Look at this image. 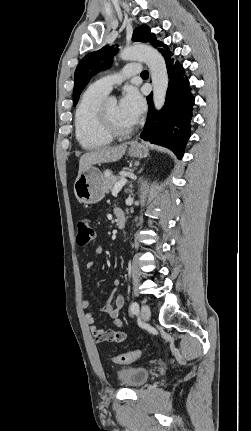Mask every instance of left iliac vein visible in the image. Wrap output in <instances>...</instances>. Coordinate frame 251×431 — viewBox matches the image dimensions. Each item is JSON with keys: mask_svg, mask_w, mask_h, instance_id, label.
Here are the masks:
<instances>
[{"mask_svg": "<svg viewBox=\"0 0 251 431\" xmlns=\"http://www.w3.org/2000/svg\"><path fill=\"white\" fill-rule=\"evenodd\" d=\"M141 317L145 323H147L151 318V312L148 305H143L141 308Z\"/></svg>", "mask_w": 251, "mask_h": 431, "instance_id": "1", "label": "left iliac vein"}]
</instances>
